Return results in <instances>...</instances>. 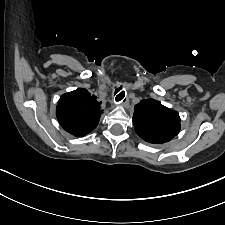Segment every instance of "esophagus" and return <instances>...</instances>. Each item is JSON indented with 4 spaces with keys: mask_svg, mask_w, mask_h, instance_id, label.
<instances>
[{
    "mask_svg": "<svg viewBox=\"0 0 225 225\" xmlns=\"http://www.w3.org/2000/svg\"><path fill=\"white\" fill-rule=\"evenodd\" d=\"M114 103L115 104H117V105H119V104H121V106H123V107H127L128 106V101L127 100H125L124 102H123V99H122V101H116V97H115V99H114Z\"/></svg>",
    "mask_w": 225,
    "mask_h": 225,
    "instance_id": "esophagus-1",
    "label": "esophagus"
}]
</instances>
